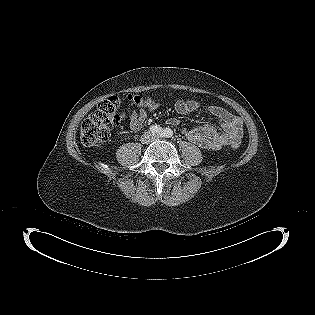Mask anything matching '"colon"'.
Listing matches in <instances>:
<instances>
[{
    "label": "colon",
    "instance_id": "obj_1",
    "mask_svg": "<svg viewBox=\"0 0 315 315\" xmlns=\"http://www.w3.org/2000/svg\"><path fill=\"white\" fill-rule=\"evenodd\" d=\"M128 99L138 106H149L157 102L149 96L128 95ZM120 104V98L112 96L100 103L96 111L82 123L80 140L85 147H92L110 138L112 129L125 119ZM238 147V143L232 144V148Z\"/></svg>",
    "mask_w": 315,
    "mask_h": 315
}]
</instances>
